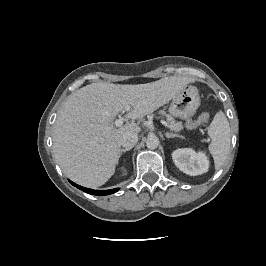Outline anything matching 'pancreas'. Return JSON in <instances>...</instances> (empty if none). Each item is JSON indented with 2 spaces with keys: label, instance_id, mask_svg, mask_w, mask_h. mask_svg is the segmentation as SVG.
<instances>
[{
  "label": "pancreas",
  "instance_id": "obj_1",
  "mask_svg": "<svg viewBox=\"0 0 266 266\" xmlns=\"http://www.w3.org/2000/svg\"><path fill=\"white\" fill-rule=\"evenodd\" d=\"M160 114L166 115L165 112L163 111H161ZM166 116H167L168 128H170L172 131H175V132H179L183 129V125L181 122H176L175 119L170 115H166Z\"/></svg>",
  "mask_w": 266,
  "mask_h": 266
}]
</instances>
